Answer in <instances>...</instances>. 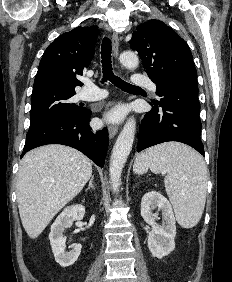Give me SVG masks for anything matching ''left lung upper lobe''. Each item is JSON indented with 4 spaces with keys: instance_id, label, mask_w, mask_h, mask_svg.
<instances>
[{
    "instance_id": "obj_1",
    "label": "left lung upper lobe",
    "mask_w": 232,
    "mask_h": 282,
    "mask_svg": "<svg viewBox=\"0 0 232 282\" xmlns=\"http://www.w3.org/2000/svg\"><path fill=\"white\" fill-rule=\"evenodd\" d=\"M129 41L156 85L198 87L197 71L186 42L160 20L140 24Z\"/></svg>"
}]
</instances>
